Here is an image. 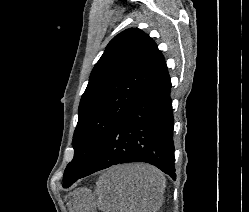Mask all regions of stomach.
<instances>
[{
  "label": "stomach",
  "mask_w": 249,
  "mask_h": 212,
  "mask_svg": "<svg viewBox=\"0 0 249 212\" xmlns=\"http://www.w3.org/2000/svg\"><path fill=\"white\" fill-rule=\"evenodd\" d=\"M95 196L88 188H78L68 194L67 206L70 212H94Z\"/></svg>",
  "instance_id": "obj_1"
}]
</instances>
